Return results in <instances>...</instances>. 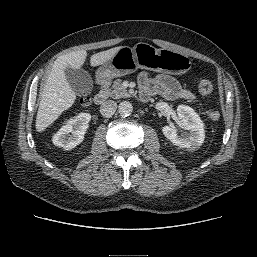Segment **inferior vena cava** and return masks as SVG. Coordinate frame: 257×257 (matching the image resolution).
<instances>
[{"label": "inferior vena cava", "mask_w": 257, "mask_h": 257, "mask_svg": "<svg viewBox=\"0 0 257 257\" xmlns=\"http://www.w3.org/2000/svg\"><path fill=\"white\" fill-rule=\"evenodd\" d=\"M117 109V103L112 100L104 102L100 107V112L104 117H111Z\"/></svg>", "instance_id": "602c4592"}]
</instances>
